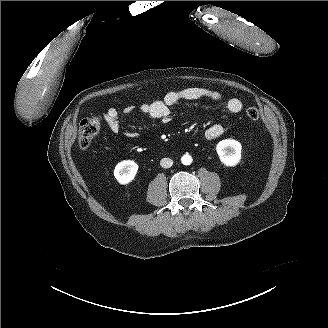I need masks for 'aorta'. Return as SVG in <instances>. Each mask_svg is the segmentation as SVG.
<instances>
[{"label": "aorta", "instance_id": "1", "mask_svg": "<svg viewBox=\"0 0 328 328\" xmlns=\"http://www.w3.org/2000/svg\"><path fill=\"white\" fill-rule=\"evenodd\" d=\"M182 164L190 165L192 163V157L189 154H185L181 157Z\"/></svg>", "mask_w": 328, "mask_h": 328}]
</instances>
